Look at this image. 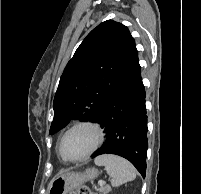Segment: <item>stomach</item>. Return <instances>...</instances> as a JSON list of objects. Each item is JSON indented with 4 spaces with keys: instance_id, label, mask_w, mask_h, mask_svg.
I'll list each match as a JSON object with an SVG mask.
<instances>
[{
    "instance_id": "stomach-1",
    "label": "stomach",
    "mask_w": 201,
    "mask_h": 194,
    "mask_svg": "<svg viewBox=\"0 0 201 194\" xmlns=\"http://www.w3.org/2000/svg\"><path fill=\"white\" fill-rule=\"evenodd\" d=\"M97 176L98 170L95 168L87 169L84 173H66L51 181L49 194H68L86 181L92 180Z\"/></svg>"
}]
</instances>
